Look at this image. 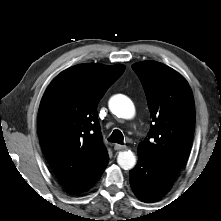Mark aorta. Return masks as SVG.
<instances>
[{"mask_svg": "<svg viewBox=\"0 0 221 221\" xmlns=\"http://www.w3.org/2000/svg\"><path fill=\"white\" fill-rule=\"evenodd\" d=\"M110 111L119 118L131 119L135 115V107L133 102L124 95H114L109 100ZM117 163L124 170L134 168L136 157L130 150L119 152Z\"/></svg>", "mask_w": 221, "mask_h": 221, "instance_id": "obj_1", "label": "aorta"}]
</instances>
